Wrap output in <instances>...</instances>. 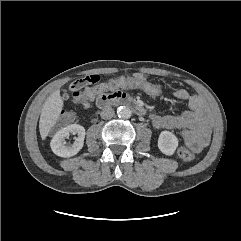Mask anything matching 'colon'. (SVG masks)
<instances>
[{"mask_svg":"<svg viewBox=\"0 0 241 241\" xmlns=\"http://www.w3.org/2000/svg\"><path fill=\"white\" fill-rule=\"evenodd\" d=\"M126 89H137L143 91L149 97L158 99L162 96L160 86L150 82L149 80L139 78L137 76H120L102 82L98 75H91L84 79L74 82L71 87L72 97L76 102H82L85 99H91L96 94L115 93ZM74 120V114L71 112L63 113L61 122L63 124L71 123ZM178 156L183 161H192L194 154L186 147L178 149Z\"/></svg>","mask_w":241,"mask_h":241,"instance_id":"obj_1","label":"colon"}]
</instances>
